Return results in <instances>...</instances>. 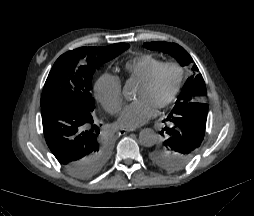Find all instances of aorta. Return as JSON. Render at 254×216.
Returning <instances> with one entry per match:
<instances>
[{
    "mask_svg": "<svg viewBox=\"0 0 254 216\" xmlns=\"http://www.w3.org/2000/svg\"><path fill=\"white\" fill-rule=\"evenodd\" d=\"M158 136L150 128L142 129L139 133V142L145 147H151L157 142Z\"/></svg>",
    "mask_w": 254,
    "mask_h": 216,
    "instance_id": "aorta-1",
    "label": "aorta"
}]
</instances>
